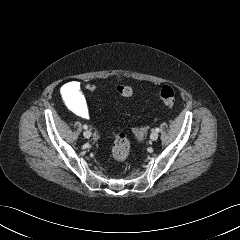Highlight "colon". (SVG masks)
<instances>
[{
	"instance_id": "colon-1",
	"label": "colon",
	"mask_w": 240,
	"mask_h": 240,
	"mask_svg": "<svg viewBox=\"0 0 240 240\" xmlns=\"http://www.w3.org/2000/svg\"><path fill=\"white\" fill-rule=\"evenodd\" d=\"M96 88L97 86L94 83H87L85 85V90L88 93L95 92ZM116 92L120 96L129 97L132 95L133 90L127 85H118L116 87ZM159 98L165 106L172 108L175 104V92L173 88L170 86L162 87L159 93ZM114 136L115 140L112 148V155L115 160L121 162L126 160L130 154V143L128 138L123 133L116 132Z\"/></svg>"
}]
</instances>
